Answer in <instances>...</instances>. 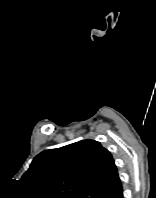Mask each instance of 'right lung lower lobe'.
Returning <instances> with one entry per match:
<instances>
[{"label":"right lung lower lobe","mask_w":156,"mask_h":198,"mask_svg":"<svg viewBox=\"0 0 156 198\" xmlns=\"http://www.w3.org/2000/svg\"><path fill=\"white\" fill-rule=\"evenodd\" d=\"M114 198H123V190H121L120 192H118Z\"/></svg>","instance_id":"1"}]
</instances>
